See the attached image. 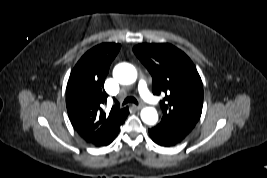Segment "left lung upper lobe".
Instances as JSON below:
<instances>
[{
	"instance_id": "5c2ea615",
	"label": "left lung upper lobe",
	"mask_w": 267,
	"mask_h": 178,
	"mask_svg": "<svg viewBox=\"0 0 267 178\" xmlns=\"http://www.w3.org/2000/svg\"><path fill=\"white\" fill-rule=\"evenodd\" d=\"M133 51L153 78V94L166 95L160 102L163 117L158 126L185 139L199 121L203 107V85L195 65L168 43H143Z\"/></svg>"
}]
</instances>
